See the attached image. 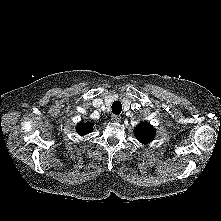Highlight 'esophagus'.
Listing matches in <instances>:
<instances>
[{
    "label": "esophagus",
    "mask_w": 221,
    "mask_h": 221,
    "mask_svg": "<svg viewBox=\"0 0 221 221\" xmlns=\"http://www.w3.org/2000/svg\"><path fill=\"white\" fill-rule=\"evenodd\" d=\"M111 120H112L113 122L118 123V122L121 121V117H120V116H117V115H112Z\"/></svg>",
    "instance_id": "obj_1"
}]
</instances>
